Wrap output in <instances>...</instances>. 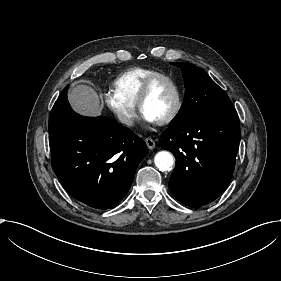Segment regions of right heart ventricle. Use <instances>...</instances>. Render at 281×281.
I'll return each instance as SVG.
<instances>
[{"mask_svg":"<svg viewBox=\"0 0 281 281\" xmlns=\"http://www.w3.org/2000/svg\"><path fill=\"white\" fill-rule=\"evenodd\" d=\"M165 74L162 70L146 67H136L121 73L114 80L116 93L124 101L136 105L146 82L153 76Z\"/></svg>","mask_w":281,"mask_h":281,"instance_id":"1","label":"right heart ventricle"}]
</instances>
